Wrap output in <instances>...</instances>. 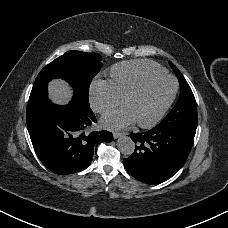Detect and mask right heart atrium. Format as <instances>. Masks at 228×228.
I'll return each mask as SVG.
<instances>
[{
  "label": "right heart atrium",
  "instance_id": "obj_1",
  "mask_svg": "<svg viewBox=\"0 0 228 228\" xmlns=\"http://www.w3.org/2000/svg\"><path fill=\"white\" fill-rule=\"evenodd\" d=\"M120 97L112 82L109 80H96L90 87V104L95 112L107 113L120 105Z\"/></svg>",
  "mask_w": 228,
  "mask_h": 228
}]
</instances>
